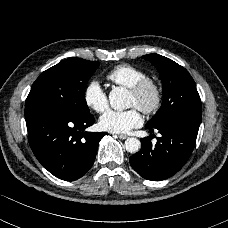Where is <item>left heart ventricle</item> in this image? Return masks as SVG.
Returning <instances> with one entry per match:
<instances>
[{
    "instance_id": "left-heart-ventricle-1",
    "label": "left heart ventricle",
    "mask_w": 228,
    "mask_h": 228,
    "mask_svg": "<svg viewBox=\"0 0 228 228\" xmlns=\"http://www.w3.org/2000/svg\"><path fill=\"white\" fill-rule=\"evenodd\" d=\"M152 98L151 92H148L145 96V100H150ZM129 104L130 106H137L138 104V98L130 93L129 96Z\"/></svg>"
}]
</instances>
